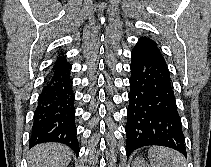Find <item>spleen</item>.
I'll list each match as a JSON object with an SVG mask.
<instances>
[{
  "instance_id": "3e777b00",
  "label": "spleen",
  "mask_w": 211,
  "mask_h": 167,
  "mask_svg": "<svg viewBox=\"0 0 211 167\" xmlns=\"http://www.w3.org/2000/svg\"><path fill=\"white\" fill-rule=\"evenodd\" d=\"M152 167H186V159L176 150L164 147H151L148 151Z\"/></svg>"
}]
</instances>
